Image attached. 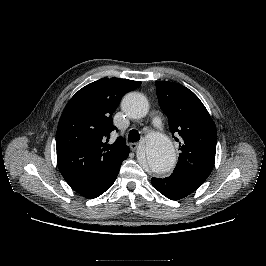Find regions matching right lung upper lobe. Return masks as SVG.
Returning a JSON list of instances; mask_svg holds the SVG:
<instances>
[{
    "label": "right lung upper lobe",
    "instance_id": "1",
    "mask_svg": "<svg viewBox=\"0 0 266 266\" xmlns=\"http://www.w3.org/2000/svg\"><path fill=\"white\" fill-rule=\"evenodd\" d=\"M140 81L102 78L80 89L67 103L56 134L58 168L71 187L88 184L110 172L129 155L118 137L108 144L115 129L112 114L125 93Z\"/></svg>",
    "mask_w": 266,
    "mask_h": 266
}]
</instances>
